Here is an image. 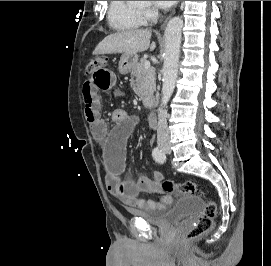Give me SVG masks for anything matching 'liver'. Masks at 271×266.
Instances as JSON below:
<instances>
[{"instance_id":"obj_1","label":"liver","mask_w":271,"mask_h":266,"mask_svg":"<svg viewBox=\"0 0 271 266\" xmlns=\"http://www.w3.org/2000/svg\"><path fill=\"white\" fill-rule=\"evenodd\" d=\"M151 31L148 29H136L121 31L105 37L93 51L94 55L144 52L148 48L153 51L155 42L150 44Z\"/></svg>"}]
</instances>
